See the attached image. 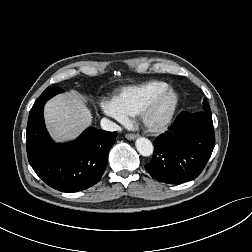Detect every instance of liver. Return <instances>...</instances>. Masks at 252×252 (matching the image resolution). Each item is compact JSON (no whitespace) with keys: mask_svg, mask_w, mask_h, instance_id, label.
I'll list each match as a JSON object with an SVG mask.
<instances>
[{"mask_svg":"<svg viewBox=\"0 0 252 252\" xmlns=\"http://www.w3.org/2000/svg\"><path fill=\"white\" fill-rule=\"evenodd\" d=\"M44 117L51 137L57 142L74 140L92 123V114L84 98L73 93H64L49 100Z\"/></svg>","mask_w":252,"mask_h":252,"instance_id":"1","label":"liver"}]
</instances>
